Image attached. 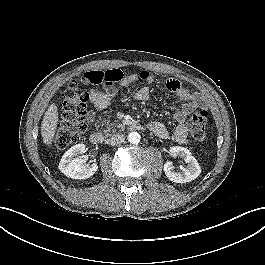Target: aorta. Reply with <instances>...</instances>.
Listing matches in <instances>:
<instances>
[{"label": "aorta", "instance_id": "obj_1", "mask_svg": "<svg viewBox=\"0 0 265 265\" xmlns=\"http://www.w3.org/2000/svg\"><path fill=\"white\" fill-rule=\"evenodd\" d=\"M140 134L138 132H131L129 133L128 135V141L131 143V144H138L140 142Z\"/></svg>", "mask_w": 265, "mask_h": 265}]
</instances>
